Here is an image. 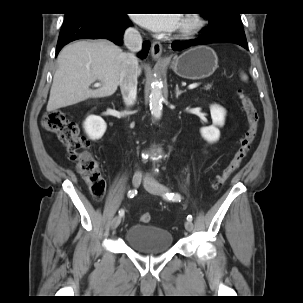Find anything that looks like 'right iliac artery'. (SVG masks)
Segmentation results:
<instances>
[{"label": "right iliac artery", "instance_id": "1", "mask_svg": "<svg viewBox=\"0 0 303 303\" xmlns=\"http://www.w3.org/2000/svg\"><path fill=\"white\" fill-rule=\"evenodd\" d=\"M136 193L137 191L133 189L128 192L127 196L129 198H133L136 195ZM123 215H124V210L123 209L119 210V216L122 217Z\"/></svg>", "mask_w": 303, "mask_h": 303}]
</instances>
